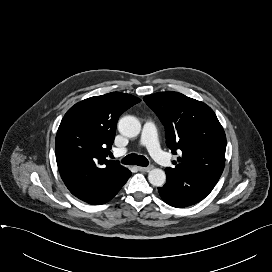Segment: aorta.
Here are the masks:
<instances>
[{"instance_id":"762f6f07","label":"aorta","mask_w":272,"mask_h":272,"mask_svg":"<svg viewBox=\"0 0 272 272\" xmlns=\"http://www.w3.org/2000/svg\"><path fill=\"white\" fill-rule=\"evenodd\" d=\"M119 132L126 137H136L141 130L139 120L134 116H124L118 122ZM149 182L156 187H161L165 184L166 174L162 169H152L148 174Z\"/></svg>"}]
</instances>
